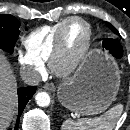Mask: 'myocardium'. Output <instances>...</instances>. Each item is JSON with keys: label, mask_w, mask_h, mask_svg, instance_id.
I'll list each match as a JSON object with an SVG mask.
<instances>
[{"label": "myocardium", "mask_w": 130, "mask_h": 130, "mask_svg": "<svg viewBox=\"0 0 130 130\" xmlns=\"http://www.w3.org/2000/svg\"><path fill=\"white\" fill-rule=\"evenodd\" d=\"M74 21H79L82 24H84L87 31V36L83 47L77 53V55L71 61L65 62L64 60L65 34L68 26ZM91 39H92V29L87 21H85L80 17L69 18L58 32L53 51L49 58V67L51 71L55 75L60 77H66L72 74L85 59L91 45Z\"/></svg>", "instance_id": "obj_1"}]
</instances>
